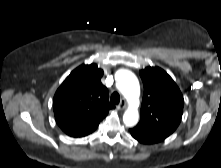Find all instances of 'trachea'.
Instances as JSON below:
<instances>
[{
	"mask_svg": "<svg viewBox=\"0 0 221 168\" xmlns=\"http://www.w3.org/2000/svg\"><path fill=\"white\" fill-rule=\"evenodd\" d=\"M110 101L113 104H118L120 102V95L117 92L112 93Z\"/></svg>",
	"mask_w": 221,
	"mask_h": 168,
	"instance_id": "3493384b",
	"label": "trachea"
}]
</instances>
